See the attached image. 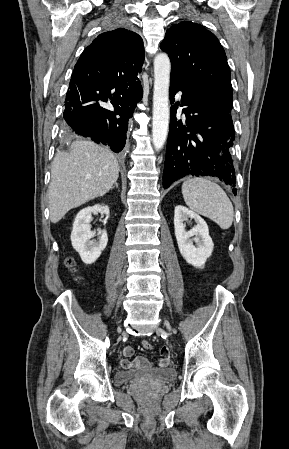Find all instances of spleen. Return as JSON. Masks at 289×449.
I'll list each match as a JSON object with an SVG mask.
<instances>
[{
  "label": "spleen",
  "instance_id": "obj_1",
  "mask_svg": "<svg viewBox=\"0 0 289 449\" xmlns=\"http://www.w3.org/2000/svg\"><path fill=\"white\" fill-rule=\"evenodd\" d=\"M182 194L190 209L211 219L223 230L231 227L233 205L218 184L207 178H189L182 184Z\"/></svg>",
  "mask_w": 289,
  "mask_h": 449
}]
</instances>
